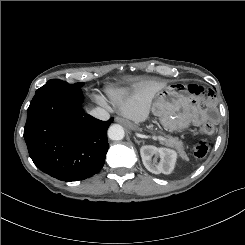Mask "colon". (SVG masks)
Masks as SVG:
<instances>
[{"instance_id": "5ec220e1", "label": "colon", "mask_w": 245, "mask_h": 245, "mask_svg": "<svg viewBox=\"0 0 245 245\" xmlns=\"http://www.w3.org/2000/svg\"><path fill=\"white\" fill-rule=\"evenodd\" d=\"M201 132L204 135H212L215 132V126L210 122H206L202 125ZM209 148L210 143L205 139H200L196 142L194 146V155L198 158H203L208 153Z\"/></svg>"}]
</instances>
